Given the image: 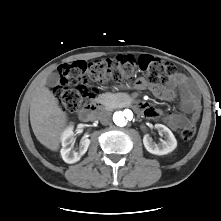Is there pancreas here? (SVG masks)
<instances>
[{"label": "pancreas", "mask_w": 221, "mask_h": 221, "mask_svg": "<svg viewBox=\"0 0 221 221\" xmlns=\"http://www.w3.org/2000/svg\"><path fill=\"white\" fill-rule=\"evenodd\" d=\"M101 103L107 108H118L122 104L120 95L113 93H105L100 96Z\"/></svg>", "instance_id": "pancreas-1"}]
</instances>
